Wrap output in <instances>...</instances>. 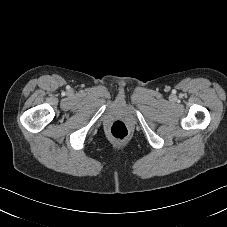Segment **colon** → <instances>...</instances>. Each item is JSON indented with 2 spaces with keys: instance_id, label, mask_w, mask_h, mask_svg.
<instances>
[{
  "instance_id": "colon-1",
  "label": "colon",
  "mask_w": 227,
  "mask_h": 227,
  "mask_svg": "<svg viewBox=\"0 0 227 227\" xmlns=\"http://www.w3.org/2000/svg\"><path fill=\"white\" fill-rule=\"evenodd\" d=\"M111 136L118 140H123L128 136V128L121 121H115L110 127Z\"/></svg>"
}]
</instances>
